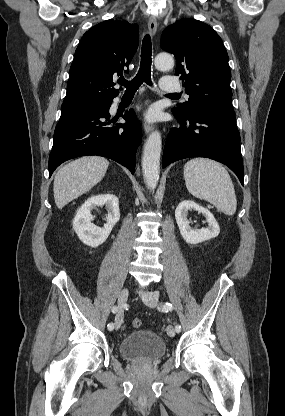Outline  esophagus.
Masks as SVG:
<instances>
[{
	"mask_svg": "<svg viewBox=\"0 0 285 416\" xmlns=\"http://www.w3.org/2000/svg\"><path fill=\"white\" fill-rule=\"evenodd\" d=\"M148 29L151 35H155L157 31V19L155 16L151 15L148 20ZM153 125L149 123L144 124V131L146 134H149L151 131H153Z\"/></svg>",
	"mask_w": 285,
	"mask_h": 416,
	"instance_id": "esophagus-1",
	"label": "esophagus"
}]
</instances>
